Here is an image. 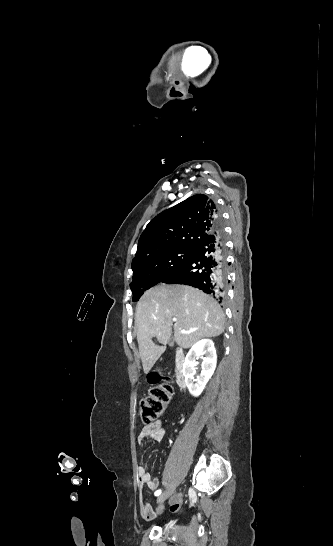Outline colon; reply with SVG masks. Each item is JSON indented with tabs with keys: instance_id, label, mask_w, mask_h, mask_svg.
I'll list each match as a JSON object with an SVG mask.
<instances>
[{
	"instance_id": "5ec220e1",
	"label": "colon",
	"mask_w": 333,
	"mask_h": 546,
	"mask_svg": "<svg viewBox=\"0 0 333 546\" xmlns=\"http://www.w3.org/2000/svg\"><path fill=\"white\" fill-rule=\"evenodd\" d=\"M148 381L152 386L139 407L140 418L145 426L153 424L163 415L173 395L170 378L153 371L148 374Z\"/></svg>"
}]
</instances>
